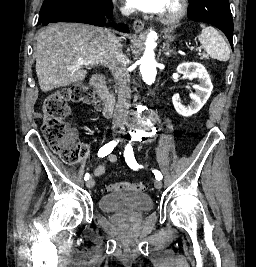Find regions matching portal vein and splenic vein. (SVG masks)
<instances>
[{
    "label": "portal vein and splenic vein",
    "instance_id": "18ae733b",
    "mask_svg": "<svg viewBox=\"0 0 256 267\" xmlns=\"http://www.w3.org/2000/svg\"><path fill=\"white\" fill-rule=\"evenodd\" d=\"M193 52L195 53V55H198V56L203 55L202 49H200V48H194ZM85 66H90V64H85Z\"/></svg>",
    "mask_w": 256,
    "mask_h": 267
}]
</instances>
